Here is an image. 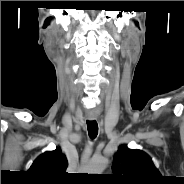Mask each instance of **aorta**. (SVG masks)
Instances as JSON below:
<instances>
[{
    "label": "aorta",
    "mask_w": 184,
    "mask_h": 184,
    "mask_svg": "<svg viewBox=\"0 0 184 184\" xmlns=\"http://www.w3.org/2000/svg\"><path fill=\"white\" fill-rule=\"evenodd\" d=\"M107 160L105 158L93 159L88 165L86 171L89 174H101L106 168Z\"/></svg>",
    "instance_id": "1"
}]
</instances>
